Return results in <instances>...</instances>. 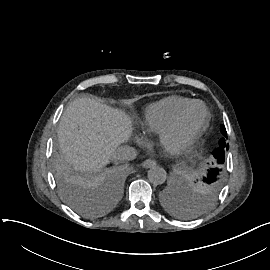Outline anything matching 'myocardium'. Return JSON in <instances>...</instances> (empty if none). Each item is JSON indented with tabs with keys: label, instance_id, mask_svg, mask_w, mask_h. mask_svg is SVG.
Returning a JSON list of instances; mask_svg holds the SVG:
<instances>
[{
	"label": "myocardium",
	"instance_id": "f54148a6",
	"mask_svg": "<svg viewBox=\"0 0 270 270\" xmlns=\"http://www.w3.org/2000/svg\"><path fill=\"white\" fill-rule=\"evenodd\" d=\"M196 106H202L204 109L205 117L203 122L187 132L182 140L174 146L177 152H185L191 148V146L196 142V140L201 136V134L205 131L210 122V112L207 106L200 101L194 102L183 109L165 128H163L159 133V138L164 140V138L172 133H176L181 131L183 124L186 120L189 112L195 108Z\"/></svg>",
	"mask_w": 270,
	"mask_h": 270
}]
</instances>
